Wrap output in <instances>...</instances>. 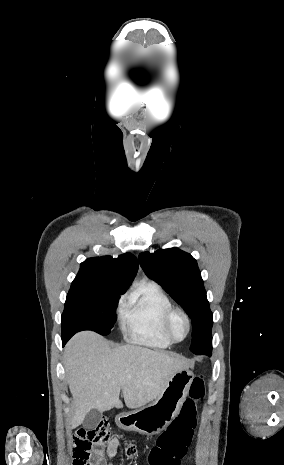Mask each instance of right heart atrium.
<instances>
[{
    "instance_id": "right-heart-atrium-1",
    "label": "right heart atrium",
    "mask_w": 284,
    "mask_h": 465,
    "mask_svg": "<svg viewBox=\"0 0 284 465\" xmlns=\"http://www.w3.org/2000/svg\"><path fill=\"white\" fill-rule=\"evenodd\" d=\"M125 299H126L125 297H122V298L120 299V303H123V302L125 301Z\"/></svg>"
}]
</instances>
